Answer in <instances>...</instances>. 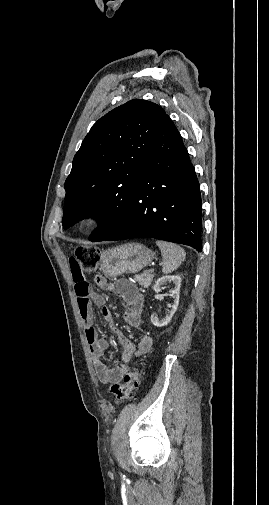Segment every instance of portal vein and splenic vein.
I'll use <instances>...</instances> for the list:
<instances>
[{
	"instance_id": "18ae733b",
	"label": "portal vein and splenic vein",
	"mask_w": 269,
	"mask_h": 505,
	"mask_svg": "<svg viewBox=\"0 0 269 505\" xmlns=\"http://www.w3.org/2000/svg\"><path fill=\"white\" fill-rule=\"evenodd\" d=\"M153 271H154V269H150V272H153Z\"/></svg>"
}]
</instances>
